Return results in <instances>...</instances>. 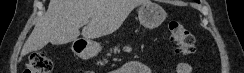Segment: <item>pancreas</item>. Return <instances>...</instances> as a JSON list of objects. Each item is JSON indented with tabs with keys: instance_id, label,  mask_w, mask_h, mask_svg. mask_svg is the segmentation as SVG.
I'll list each match as a JSON object with an SVG mask.
<instances>
[{
	"instance_id": "1",
	"label": "pancreas",
	"mask_w": 244,
	"mask_h": 73,
	"mask_svg": "<svg viewBox=\"0 0 244 73\" xmlns=\"http://www.w3.org/2000/svg\"><path fill=\"white\" fill-rule=\"evenodd\" d=\"M123 50H124V52H130V51H131V48L128 47V46H125V47H123ZM112 51H113L114 53H117V52L119 53V52H120L119 46L114 47L113 50L110 49V52L107 53L106 56H107V57L111 56ZM103 60H105V59H103Z\"/></svg>"
}]
</instances>
